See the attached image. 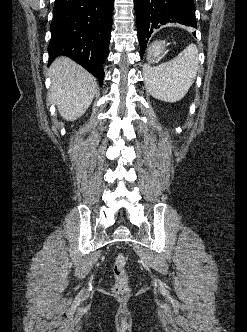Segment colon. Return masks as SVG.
Here are the masks:
<instances>
[{
    "label": "colon",
    "instance_id": "1",
    "mask_svg": "<svg viewBox=\"0 0 247 332\" xmlns=\"http://www.w3.org/2000/svg\"><path fill=\"white\" fill-rule=\"evenodd\" d=\"M126 263V256L122 253H119L115 257L113 264V273L115 278L113 292L120 296H125L129 293V277L125 272Z\"/></svg>",
    "mask_w": 247,
    "mask_h": 332
}]
</instances>
